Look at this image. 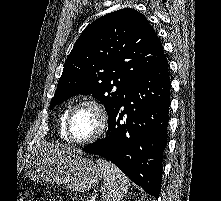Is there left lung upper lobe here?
I'll use <instances>...</instances> for the list:
<instances>
[{"mask_svg":"<svg viewBox=\"0 0 221 201\" xmlns=\"http://www.w3.org/2000/svg\"><path fill=\"white\" fill-rule=\"evenodd\" d=\"M165 58L146 18L125 8L90 24L65 61L50 108L77 94L101 101L109 119L125 95Z\"/></svg>","mask_w":221,"mask_h":201,"instance_id":"5c2ea615","label":"left lung upper lobe"}]
</instances>
